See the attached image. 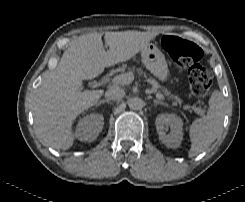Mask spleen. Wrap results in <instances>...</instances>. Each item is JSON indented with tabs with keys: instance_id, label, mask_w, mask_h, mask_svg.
I'll use <instances>...</instances> for the list:
<instances>
[{
	"instance_id": "spleen-1",
	"label": "spleen",
	"mask_w": 245,
	"mask_h": 202,
	"mask_svg": "<svg viewBox=\"0 0 245 202\" xmlns=\"http://www.w3.org/2000/svg\"><path fill=\"white\" fill-rule=\"evenodd\" d=\"M224 104L222 93L214 91L209 100L207 115L194 120L190 125L191 148L189 157H194L205 151L220 134L225 115Z\"/></svg>"
}]
</instances>
